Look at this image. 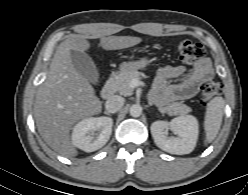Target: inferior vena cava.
Listing matches in <instances>:
<instances>
[{
    "label": "inferior vena cava",
    "mask_w": 248,
    "mask_h": 195,
    "mask_svg": "<svg viewBox=\"0 0 248 195\" xmlns=\"http://www.w3.org/2000/svg\"><path fill=\"white\" fill-rule=\"evenodd\" d=\"M124 104V98L118 95L109 97L105 103V108L109 113L118 112Z\"/></svg>",
    "instance_id": "inferior-vena-cava-1"
}]
</instances>
